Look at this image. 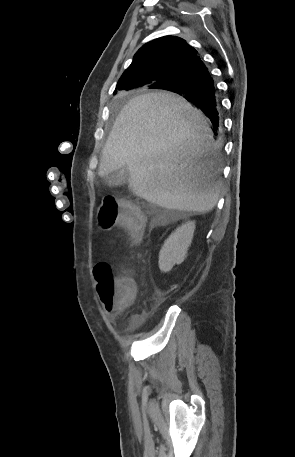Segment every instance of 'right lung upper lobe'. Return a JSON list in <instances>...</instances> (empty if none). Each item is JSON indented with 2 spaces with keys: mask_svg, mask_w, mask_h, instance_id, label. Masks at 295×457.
<instances>
[{
  "mask_svg": "<svg viewBox=\"0 0 295 457\" xmlns=\"http://www.w3.org/2000/svg\"><path fill=\"white\" fill-rule=\"evenodd\" d=\"M197 57V51L182 38L165 36L155 39L136 52L131 65L119 79L117 89L129 90L136 85L155 87L172 81Z\"/></svg>",
  "mask_w": 295,
  "mask_h": 457,
  "instance_id": "right-lung-upper-lobe-1",
  "label": "right lung upper lobe"
}]
</instances>
